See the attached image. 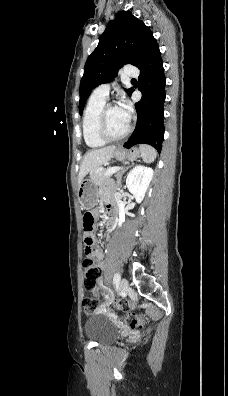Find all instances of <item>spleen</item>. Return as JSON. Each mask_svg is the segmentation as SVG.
I'll list each match as a JSON object with an SVG mask.
<instances>
[{"mask_svg": "<svg viewBox=\"0 0 228 396\" xmlns=\"http://www.w3.org/2000/svg\"><path fill=\"white\" fill-rule=\"evenodd\" d=\"M139 149L141 152L142 159L145 163H151L155 160L157 153L153 147L147 144H141Z\"/></svg>", "mask_w": 228, "mask_h": 396, "instance_id": "1", "label": "spleen"}]
</instances>
